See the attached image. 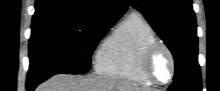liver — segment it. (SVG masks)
I'll return each mask as SVG.
<instances>
[{"label": "liver", "mask_w": 220, "mask_h": 91, "mask_svg": "<svg viewBox=\"0 0 220 91\" xmlns=\"http://www.w3.org/2000/svg\"><path fill=\"white\" fill-rule=\"evenodd\" d=\"M36 91H143L126 81L104 77H76L72 75H54Z\"/></svg>", "instance_id": "obj_1"}]
</instances>
